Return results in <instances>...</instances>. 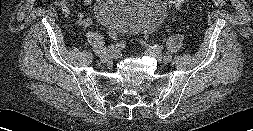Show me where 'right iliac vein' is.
<instances>
[{
	"label": "right iliac vein",
	"mask_w": 253,
	"mask_h": 131,
	"mask_svg": "<svg viewBox=\"0 0 253 131\" xmlns=\"http://www.w3.org/2000/svg\"><path fill=\"white\" fill-rule=\"evenodd\" d=\"M110 56L109 55H101L100 59L102 62H108L110 60Z\"/></svg>",
	"instance_id": "1"
}]
</instances>
